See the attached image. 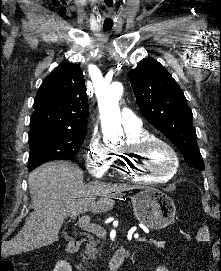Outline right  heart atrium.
<instances>
[{
    "instance_id": "obj_1",
    "label": "right heart atrium",
    "mask_w": 221,
    "mask_h": 271,
    "mask_svg": "<svg viewBox=\"0 0 221 271\" xmlns=\"http://www.w3.org/2000/svg\"><path fill=\"white\" fill-rule=\"evenodd\" d=\"M90 156L87 158L86 167L94 170L96 177H105V173H111L113 162L117 159V154H111L110 151H98V146H89Z\"/></svg>"
}]
</instances>
